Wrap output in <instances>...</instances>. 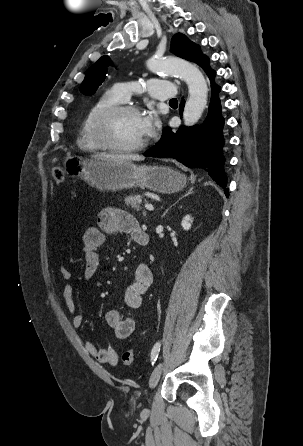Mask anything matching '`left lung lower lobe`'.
I'll use <instances>...</instances> for the list:
<instances>
[{
	"mask_svg": "<svg viewBox=\"0 0 303 446\" xmlns=\"http://www.w3.org/2000/svg\"><path fill=\"white\" fill-rule=\"evenodd\" d=\"M211 81V101L208 116L202 126L180 127L176 132L166 128L161 140L144 155L148 157H171L190 168H202L212 179L225 189L227 178L224 171L225 158L222 147L224 118L221 115V102L218 94L221 88L214 83L215 71L209 67V59L201 65ZM184 100L180 104V114Z\"/></svg>",
	"mask_w": 303,
	"mask_h": 446,
	"instance_id": "1",
	"label": "left lung lower lobe"
}]
</instances>
